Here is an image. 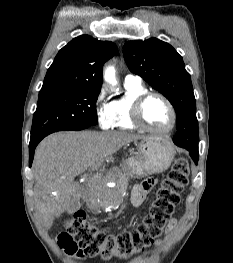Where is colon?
Wrapping results in <instances>:
<instances>
[{
    "mask_svg": "<svg viewBox=\"0 0 233 263\" xmlns=\"http://www.w3.org/2000/svg\"><path fill=\"white\" fill-rule=\"evenodd\" d=\"M189 173L187 159L177 158L158 189L148 215L135 229L108 234L93 226L85 214L78 211L59 235V245L67 254L79 257L128 259L140 254L160 236L162 227L180 202V193L188 183Z\"/></svg>",
    "mask_w": 233,
    "mask_h": 263,
    "instance_id": "obj_1",
    "label": "colon"
}]
</instances>
